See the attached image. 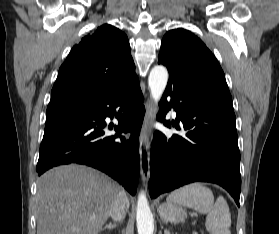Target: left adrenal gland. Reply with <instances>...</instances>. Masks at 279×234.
I'll return each instance as SVG.
<instances>
[{"mask_svg": "<svg viewBox=\"0 0 279 234\" xmlns=\"http://www.w3.org/2000/svg\"><path fill=\"white\" fill-rule=\"evenodd\" d=\"M164 234H170V231L168 229H165Z\"/></svg>", "mask_w": 279, "mask_h": 234, "instance_id": "obj_1", "label": "left adrenal gland"}]
</instances>
